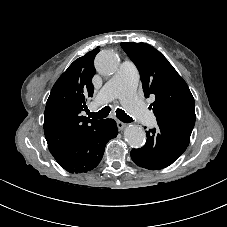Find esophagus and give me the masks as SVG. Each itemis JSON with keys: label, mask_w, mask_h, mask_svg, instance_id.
Listing matches in <instances>:
<instances>
[{"label": "esophagus", "mask_w": 227, "mask_h": 227, "mask_svg": "<svg viewBox=\"0 0 227 227\" xmlns=\"http://www.w3.org/2000/svg\"><path fill=\"white\" fill-rule=\"evenodd\" d=\"M127 125L119 120H117V127L121 131L123 130Z\"/></svg>", "instance_id": "obj_1"}]
</instances>
